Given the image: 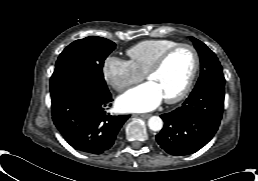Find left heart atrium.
Masks as SVG:
<instances>
[{"mask_svg":"<svg viewBox=\"0 0 258 181\" xmlns=\"http://www.w3.org/2000/svg\"><path fill=\"white\" fill-rule=\"evenodd\" d=\"M162 100L160 90L148 81L121 95L117 99V107L123 112H147L155 109Z\"/></svg>","mask_w":258,"mask_h":181,"instance_id":"1","label":"left heart atrium"}]
</instances>
